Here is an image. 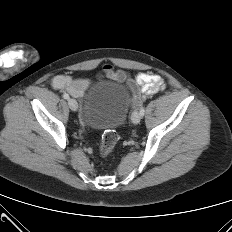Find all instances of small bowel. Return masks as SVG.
<instances>
[{
	"label": "small bowel",
	"instance_id": "c3829d8e",
	"mask_svg": "<svg viewBox=\"0 0 232 232\" xmlns=\"http://www.w3.org/2000/svg\"><path fill=\"white\" fill-rule=\"evenodd\" d=\"M100 76L125 82L130 89L133 99V108L139 107L142 99L154 95L165 87L163 79L153 73H140L136 78H131L125 71L116 70L110 65L103 67ZM53 86L59 90H66L77 98H83L85 91L90 86V81L83 78H73L68 75H58L53 79Z\"/></svg>",
	"mask_w": 232,
	"mask_h": 232
}]
</instances>
